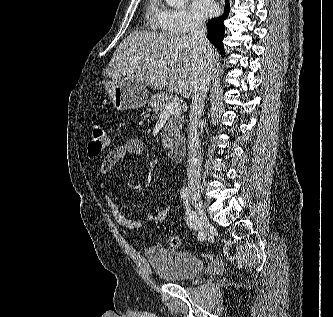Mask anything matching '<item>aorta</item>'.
Returning a JSON list of instances; mask_svg holds the SVG:
<instances>
[{
    "label": "aorta",
    "instance_id": "1",
    "mask_svg": "<svg viewBox=\"0 0 333 317\" xmlns=\"http://www.w3.org/2000/svg\"><path fill=\"white\" fill-rule=\"evenodd\" d=\"M165 1L169 6L174 8H179L187 2V0H165Z\"/></svg>",
    "mask_w": 333,
    "mask_h": 317
}]
</instances>
